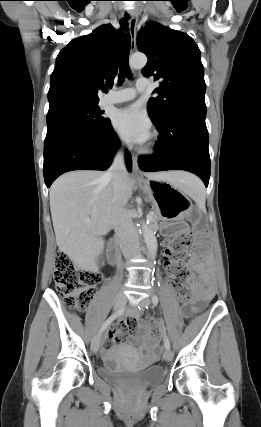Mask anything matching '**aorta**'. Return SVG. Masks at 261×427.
Returning <instances> with one entry per match:
<instances>
[{"mask_svg":"<svg viewBox=\"0 0 261 427\" xmlns=\"http://www.w3.org/2000/svg\"><path fill=\"white\" fill-rule=\"evenodd\" d=\"M147 63V57L145 54H134L131 56L129 60V65L132 69H141ZM141 229L143 233V237L147 246L148 254L151 259L157 254L158 243L155 236V232L151 229V227L144 222H141Z\"/></svg>","mask_w":261,"mask_h":427,"instance_id":"aorta-1","label":"aorta"}]
</instances>
